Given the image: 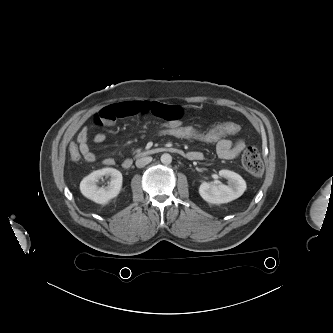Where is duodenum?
Wrapping results in <instances>:
<instances>
[{
  "instance_id": "duodenum-1",
  "label": "duodenum",
  "mask_w": 333,
  "mask_h": 333,
  "mask_svg": "<svg viewBox=\"0 0 333 333\" xmlns=\"http://www.w3.org/2000/svg\"><path fill=\"white\" fill-rule=\"evenodd\" d=\"M163 152H169V153L178 154V155L184 154L183 151L179 148L160 146V147H154V148L148 149L142 155L143 156H152V155H156V154L163 153ZM186 156L189 158L190 155L187 153ZM132 164H133L132 159L127 158L123 161L122 166L124 169H129V168H131Z\"/></svg>"
}]
</instances>
